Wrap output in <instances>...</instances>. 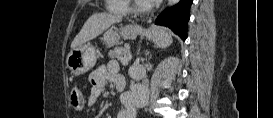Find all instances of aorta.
<instances>
[{
    "mask_svg": "<svg viewBox=\"0 0 273 118\" xmlns=\"http://www.w3.org/2000/svg\"><path fill=\"white\" fill-rule=\"evenodd\" d=\"M177 2H178V0H169L168 5L172 6V5H175Z\"/></svg>",
    "mask_w": 273,
    "mask_h": 118,
    "instance_id": "obj_1",
    "label": "aorta"
}]
</instances>
